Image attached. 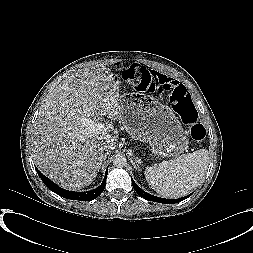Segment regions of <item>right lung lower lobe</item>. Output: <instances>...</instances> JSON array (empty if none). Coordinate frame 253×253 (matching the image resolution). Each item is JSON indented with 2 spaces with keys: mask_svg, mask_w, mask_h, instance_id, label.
<instances>
[{
  "mask_svg": "<svg viewBox=\"0 0 253 253\" xmlns=\"http://www.w3.org/2000/svg\"><path fill=\"white\" fill-rule=\"evenodd\" d=\"M36 170L41 180L51 191L67 199L82 200V201H91L97 198L103 192V190L105 189L106 178L108 174L107 169L102 184L96 189L87 192H73L62 189L61 187L53 183L51 180H49L47 177H45L37 168Z\"/></svg>",
  "mask_w": 253,
  "mask_h": 253,
  "instance_id": "obj_1",
  "label": "right lung lower lobe"
}]
</instances>
